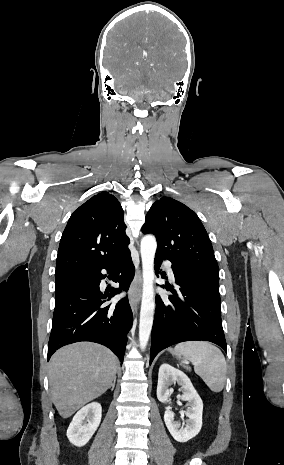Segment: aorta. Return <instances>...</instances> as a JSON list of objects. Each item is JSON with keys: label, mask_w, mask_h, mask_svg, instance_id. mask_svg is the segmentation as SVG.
<instances>
[{"label": "aorta", "mask_w": 284, "mask_h": 465, "mask_svg": "<svg viewBox=\"0 0 284 465\" xmlns=\"http://www.w3.org/2000/svg\"><path fill=\"white\" fill-rule=\"evenodd\" d=\"M157 242L153 235H146L141 240V259L143 274V293L139 322V345L142 350L147 346L155 310L154 287V256Z\"/></svg>", "instance_id": "762f6f07"}]
</instances>
